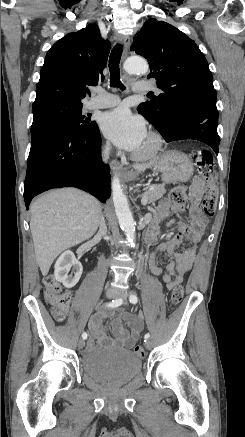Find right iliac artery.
<instances>
[{"instance_id": "82829eb1", "label": "right iliac artery", "mask_w": 245, "mask_h": 437, "mask_svg": "<svg viewBox=\"0 0 245 437\" xmlns=\"http://www.w3.org/2000/svg\"><path fill=\"white\" fill-rule=\"evenodd\" d=\"M122 302H123L122 299H115V300H112L111 302L107 303L106 306H108V307H118V306H120L122 304ZM87 337H88L87 333L84 332L82 334V338L83 339H87Z\"/></svg>"}]
</instances>
